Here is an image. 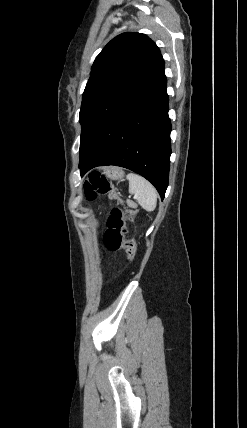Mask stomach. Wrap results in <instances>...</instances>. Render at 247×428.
Returning a JSON list of instances; mask_svg holds the SVG:
<instances>
[{"instance_id": "stomach-1", "label": "stomach", "mask_w": 247, "mask_h": 428, "mask_svg": "<svg viewBox=\"0 0 247 428\" xmlns=\"http://www.w3.org/2000/svg\"><path fill=\"white\" fill-rule=\"evenodd\" d=\"M104 174L112 180H121L124 177V172L118 167H109Z\"/></svg>"}]
</instances>
